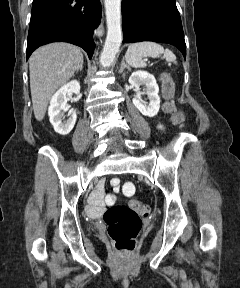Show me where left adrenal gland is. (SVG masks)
I'll return each instance as SVG.
<instances>
[{"mask_svg": "<svg viewBox=\"0 0 240 288\" xmlns=\"http://www.w3.org/2000/svg\"><path fill=\"white\" fill-rule=\"evenodd\" d=\"M125 68L130 69L129 66L125 63V59L123 58L122 62H121V67H120L119 73H122Z\"/></svg>", "mask_w": 240, "mask_h": 288, "instance_id": "a2214340", "label": "left adrenal gland"}]
</instances>
